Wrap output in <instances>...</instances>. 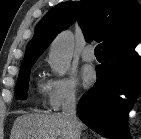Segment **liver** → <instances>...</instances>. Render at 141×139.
<instances>
[{"label":"liver","mask_w":141,"mask_h":139,"mask_svg":"<svg viewBox=\"0 0 141 139\" xmlns=\"http://www.w3.org/2000/svg\"><path fill=\"white\" fill-rule=\"evenodd\" d=\"M80 127L81 130L86 128L81 122ZM71 137L69 122L62 113H31L15 120L10 139H72Z\"/></svg>","instance_id":"obj_1"}]
</instances>
